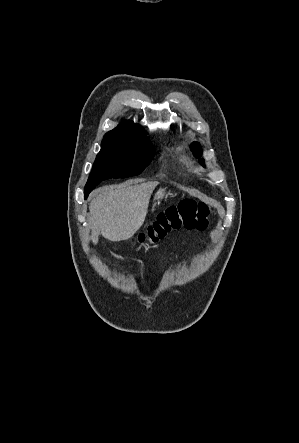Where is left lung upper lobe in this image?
Here are the masks:
<instances>
[{
	"label": "left lung upper lobe",
	"mask_w": 299,
	"mask_h": 443,
	"mask_svg": "<svg viewBox=\"0 0 299 443\" xmlns=\"http://www.w3.org/2000/svg\"><path fill=\"white\" fill-rule=\"evenodd\" d=\"M191 150L193 151V154L195 157H201V147H200L199 143H196V142L192 143ZM199 162L203 165L202 159Z\"/></svg>",
	"instance_id": "obj_1"
}]
</instances>
